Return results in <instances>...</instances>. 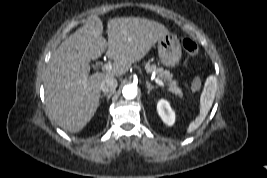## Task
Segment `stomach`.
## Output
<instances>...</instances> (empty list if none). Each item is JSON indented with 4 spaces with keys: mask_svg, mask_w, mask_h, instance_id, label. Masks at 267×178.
<instances>
[{
    "mask_svg": "<svg viewBox=\"0 0 267 178\" xmlns=\"http://www.w3.org/2000/svg\"><path fill=\"white\" fill-rule=\"evenodd\" d=\"M158 54L163 65L175 67L181 59L182 50L178 38L173 34H166L158 40Z\"/></svg>",
    "mask_w": 267,
    "mask_h": 178,
    "instance_id": "0dacf381",
    "label": "stomach"
}]
</instances>
